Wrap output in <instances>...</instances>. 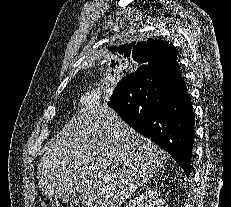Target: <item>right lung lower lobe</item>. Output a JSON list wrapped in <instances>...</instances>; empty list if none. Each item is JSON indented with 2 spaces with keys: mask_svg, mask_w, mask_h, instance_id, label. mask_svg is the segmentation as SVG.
I'll use <instances>...</instances> for the list:
<instances>
[{
  "mask_svg": "<svg viewBox=\"0 0 231 207\" xmlns=\"http://www.w3.org/2000/svg\"><path fill=\"white\" fill-rule=\"evenodd\" d=\"M108 105L128 125L167 151L189 177L195 121L179 65L138 68L116 86Z\"/></svg>",
  "mask_w": 231,
  "mask_h": 207,
  "instance_id": "98d812e1",
  "label": "right lung lower lobe"
}]
</instances>
